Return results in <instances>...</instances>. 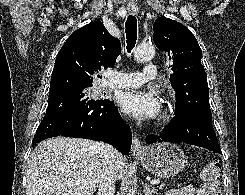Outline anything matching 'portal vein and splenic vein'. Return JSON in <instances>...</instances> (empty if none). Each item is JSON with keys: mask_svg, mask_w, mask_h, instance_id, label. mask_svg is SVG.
I'll return each mask as SVG.
<instances>
[{"mask_svg": "<svg viewBox=\"0 0 245 195\" xmlns=\"http://www.w3.org/2000/svg\"><path fill=\"white\" fill-rule=\"evenodd\" d=\"M150 183H151L152 185H154V184H159V183H160V180H159V179H157V180H152Z\"/></svg>", "mask_w": 245, "mask_h": 195, "instance_id": "18ae733b", "label": "portal vein and splenic vein"}]
</instances>
